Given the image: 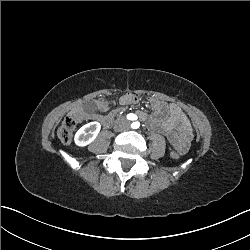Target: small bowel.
Masks as SVG:
<instances>
[{
	"mask_svg": "<svg viewBox=\"0 0 250 250\" xmlns=\"http://www.w3.org/2000/svg\"><path fill=\"white\" fill-rule=\"evenodd\" d=\"M138 97L126 94L120 97V105L136 104ZM149 105L153 110V114L148 118V125L154 131L162 133L166 136L178 149L180 153L188 150L189 144L193 138V130L188 122L185 114L175 104H167L163 101L150 99ZM111 103L104 100H94L92 107L94 110L106 111ZM141 118H146V114L139 112ZM76 120L94 119L100 120V116L94 112H86L83 109H77L73 112Z\"/></svg>",
	"mask_w": 250,
	"mask_h": 250,
	"instance_id": "c3829d8e",
	"label": "small bowel"
}]
</instances>
